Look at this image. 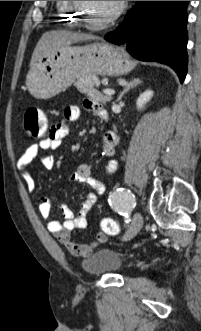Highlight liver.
Here are the masks:
<instances>
[{"instance_id": "6515ba94", "label": "liver", "mask_w": 201, "mask_h": 331, "mask_svg": "<svg viewBox=\"0 0 201 331\" xmlns=\"http://www.w3.org/2000/svg\"><path fill=\"white\" fill-rule=\"evenodd\" d=\"M96 36L91 34L74 33L67 30L45 32L38 41L31 57L32 68L43 57L50 55L62 46L71 45L79 41L95 40Z\"/></svg>"}]
</instances>
